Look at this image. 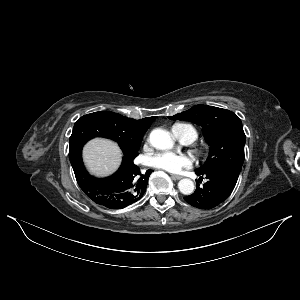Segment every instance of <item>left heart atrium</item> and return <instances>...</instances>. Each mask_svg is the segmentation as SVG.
<instances>
[{
    "label": "left heart atrium",
    "mask_w": 300,
    "mask_h": 300,
    "mask_svg": "<svg viewBox=\"0 0 300 300\" xmlns=\"http://www.w3.org/2000/svg\"><path fill=\"white\" fill-rule=\"evenodd\" d=\"M149 164L160 170L170 173H179L184 168H189L193 164L191 156L186 154H177L173 152H163L152 156L149 159Z\"/></svg>",
    "instance_id": "left-heart-atrium-1"
}]
</instances>
